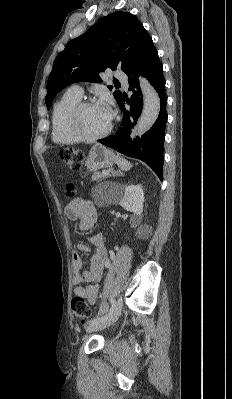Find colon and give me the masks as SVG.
Wrapping results in <instances>:
<instances>
[{
  "mask_svg": "<svg viewBox=\"0 0 232 399\" xmlns=\"http://www.w3.org/2000/svg\"><path fill=\"white\" fill-rule=\"evenodd\" d=\"M86 161V154L79 152V147H68L65 150L64 163L66 167L79 168L81 162ZM68 191H75V186H67V189H63V194H68ZM71 301H85V296H71ZM91 307H86V302L72 303L71 306V323L75 324L76 320L86 322V319H91Z\"/></svg>",
  "mask_w": 232,
  "mask_h": 399,
  "instance_id": "5ec220e1",
  "label": "colon"
}]
</instances>
